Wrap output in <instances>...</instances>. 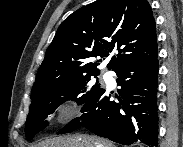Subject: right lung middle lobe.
I'll list each match as a JSON object with an SVG mask.
<instances>
[{"mask_svg": "<svg viewBox=\"0 0 183 147\" xmlns=\"http://www.w3.org/2000/svg\"><path fill=\"white\" fill-rule=\"evenodd\" d=\"M90 74L72 79L58 80L42 88L31 91V105L25 134L31 140L35 134L48 125L47 119L57 107L67 100L77 101L78 105L87 102L100 88L98 80L94 84Z\"/></svg>", "mask_w": 183, "mask_h": 147, "instance_id": "obj_1", "label": "right lung middle lobe"}]
</instances>
